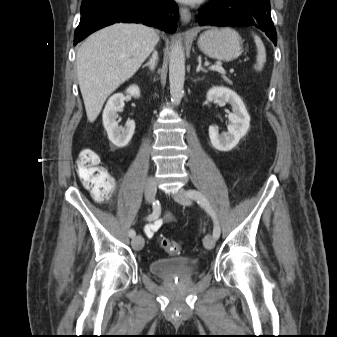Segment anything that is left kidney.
I'll return each mask as SVG.
<instances>
[{
    "mask_svg": "<svg viewBox=\"0 0 337 337\" xmlns=\"http://www.w3.org/2000/svg\"><path fill=\"white\" fill-rule=\"evenodd\" d=\"M207 100L214 103H229L232 107V113L228 115L230 125L227 127V133L219 134L217 127H209V137L212 146L219 151H230L249 129L250 116L246 107L239 95L226 87L211 88L207 92Z\"/></svg>",
    "mask_w": 337,
    "mask_h": 337,
    "instance_id": "1",
    "label": "left kidney"
}]
</instances>
